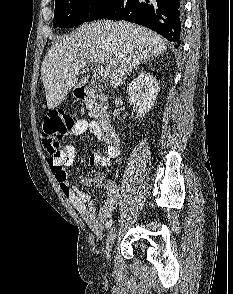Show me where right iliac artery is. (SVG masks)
Instances as JSON below:
<instances>
[{
    "label": "right iliac artery",
    "instance_id": "82829eb1",
    "mask_svg": "<svg viewBox=\"0 0 233 294\" xmlns=\"http://www.w3.org/2000/svg\"><path fill=\"white\" fill-rule=\"evenodd\" d=\"M112 224H113V220H112V219H109V220L106 222V227H107V229L111 228Z\"/></svg>",
    "mask_w": 233,
    "mask_h": 294
}]
</instances>
